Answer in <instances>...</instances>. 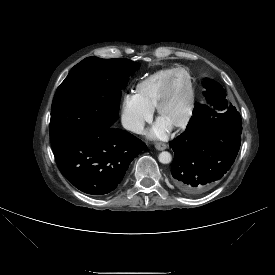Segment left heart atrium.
<instances>
[{"label": "left heart atrium", "instance_id": "left-heart-atrium-1", "mask_svg": "<svg viewBox=\"0 0 275 275\" xmlns=\"http://www.w3.org/2000/svg\"><path fill=\"white\" fill-rule=\"evenodd\" d=\"M169 128L168 124L159 119L149 130L148 136L153 139H164L168 134Z\"/></svg>", "mask_w": 275, "mask_h": 275}]
</instances>
